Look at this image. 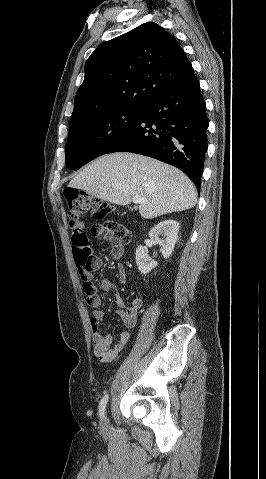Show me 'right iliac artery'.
<instances>
[{
  "instance_id": "1",
  "label": "right iliac artery",
  "mask_w": 266,
  "mask_h": 479,
  "mask_svg": "<svg viewBox=\"0 0 266 479\" xmlns=\"http://www.w3.org/2000/svg\"><path fill=\"white\" fill-rule=\"evenodd\" d=\"M107 401H108V394H106L100 404H99V415L100 417H104V411H105V407H106V404H107Z\"/></svg>"
}]
</instances>
